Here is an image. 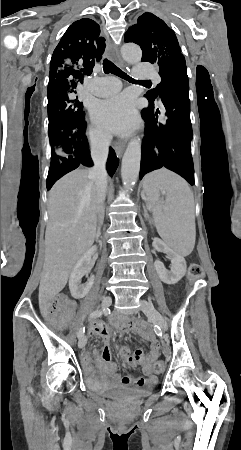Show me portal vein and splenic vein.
I'll return each instance as SVG.
<instances>
[{
	"instance_id": "portal-vein-and-splenic-vein-1",
	"label": "portal vein and splenic vein",
	"mask_w": 241,
	"mask_h": 450,
	"mask_svg": "<svg viewBox=\"0 0 241 450\" xmlns=\"http://www.w3.org/2000/svg\"><path fill=\"white\" fill-rule=\"evenodd\" d=\"M143 206H144V207H147V206H148V207H153V202H148V203H147V202H144V203H143ZM149 211H150V210H149ZM152 211H153V210H152Z\"/></svg>"
}]
</instances>
